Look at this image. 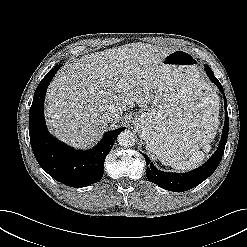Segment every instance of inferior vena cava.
<instances>
[{
  "label": "inferior vena cava",
  "mask_w": 247,
  "mask_h": 247,
  "mask_svg": "<svg viewBox=\"0 0 247 247\" xmlns=\"http://www.w3.org/2000/svg\"><path fill=\"white\" fill-rule=\"evenodd\" d=\"M104 118L107 121H113L120 118V113L112 109L104 114Z\"/></svg>",
  "instance_id": "602c4592"
}]
</instances>
